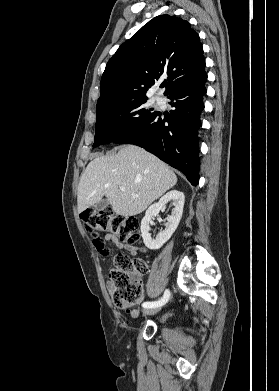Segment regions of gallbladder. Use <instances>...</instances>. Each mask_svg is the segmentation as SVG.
<instances>
[{
    "label": "gallbladder",
    "instance_id": "bac80fb5",
    "mask_svg": "<svg viewBox=\"0 0 279 391\" xmlns=\"http://www.w3.org/2000/svg\"><path fill=\"white\" fill-rule=\"evenodd\" d=\"M107 206H108V201L101 200L93 206V209H94V211H101V210H104Z\"/></svg>",
    "mask_w": 279,
    "mask_h": 391
}]
</instances>
